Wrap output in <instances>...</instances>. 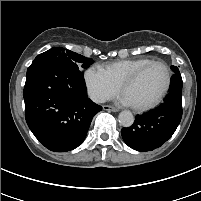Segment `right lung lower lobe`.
Wrapping results in <instances>:
<instances>
[{
  "instance_id": "obj_1",
  "label": "right lung lower lobe",
  "mask_w": 201,
  "mask_h": 201,
  "mask_svg": "<svg viewBox=\"0 0 201 201\" xmlns=\"http://www.w3.org/2000/svg\"><path fill=\"white\" fill-rule=\"evenodd\" d=\"M26 122L46 148L66 152L85 139L102 107L87 96L83 75L64 63L33 62L24 87Z\"/></svg>"
}]
</instances>
